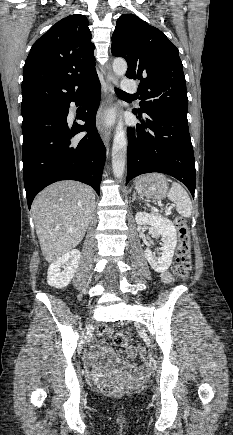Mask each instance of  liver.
Returning a JSON list of instances; mask_svg holds the SVG:
<instances>
[{"label": "liver", "mask_w": 233, "mask_h": 435, "mask_svg": "<svg viewBox=\"0 0 233 435\" xmlns=\"http://www.w3.org/2000/svg\"><path fill=\"white\" fill-rule=\"evenodd\" d=\"M94 209L93 190L77 181L56 182L36 196L31 210L47 262L57 260L82 241Z\"/></svg>", "instance_id": "obj_1"}]
</instances>
